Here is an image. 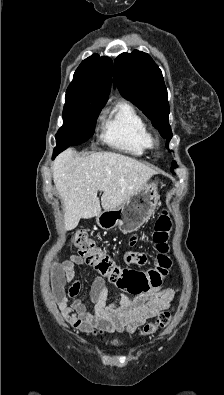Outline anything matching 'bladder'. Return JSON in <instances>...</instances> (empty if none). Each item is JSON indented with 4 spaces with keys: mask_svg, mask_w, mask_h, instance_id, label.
I'll use <instances>...</instances> for the list:
<instances>
[{
    "mask_svg": "<svg viewBox=\"0 0 224 395\" xmlns=\"http://www.w3.org/2000/svg\"><path fill=\"white\" fill-rule=\"evenodd\" d=\"M106 344L111 347H119L121 345V341L118 339H110L106 342Z\"/></svg>",
    "mask_w": 224,
    "mask_h": 395,
    "instance_id": "obj_1",
    "label": "bladder"
}]
</instances>
